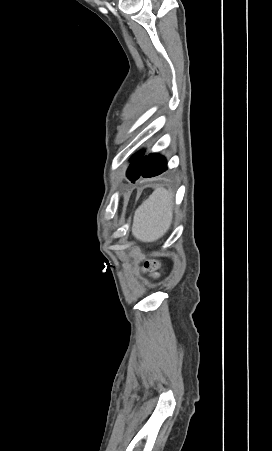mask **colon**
Listing matches in <instances>:
<instances>
[{"label":"colon","mask_w":272,"mask_h":451,"mask_svg":"<svg viewBox=\"0 0 272 451\" xmlns=\"http://www.w3.org/2000/svg\"><path fill=\"white\" fill-rule=\"evenodd\" d=\"M143 270L151 277H156L158 275V271L160 270V264L157 261L152 259H148L146 257L143 258Z\"/></svg>","instance_id":"1"}]
</instances>
